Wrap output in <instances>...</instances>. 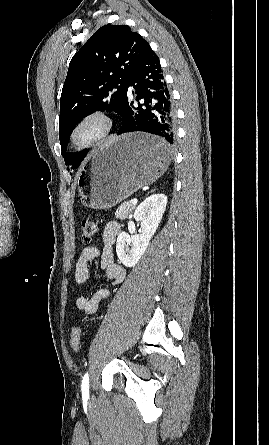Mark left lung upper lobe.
Instances as JSON below:
<instances>
[{
	"label": "left lung upper lobe",
	"instance_id": "5c2ea615",
	"mask_svg": "<svg viewBox=\"0 0 269 445\" xmlns=\"http://www.w3.org/2000/svg\"><path fill=\"white\" fill-rule=\"evenodd\" d=\"M149 46L127 25H104L70 61L60 99L59 139L68 168L85 153L66 152L75 125L97 110L122 116L128 81Z\"/></svg>",
	"mask_w": 269,
	"mask_h": 445
}]
</instances>
